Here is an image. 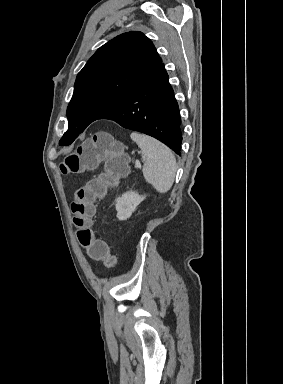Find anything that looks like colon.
<instances>
[{
    "instance_id": "obj_1",
    "label": "colon",
    "mask_w": 283,
    "mask_h": 384,
    "mask_svg": "<svg viewBox=\"0 0 283 384\" xmlns=\"http://www.w3.org/2000/svg\"><path fill=\"white\" fill-rule=\"evenodd\" d=\"M103 163V171L74 191L71 205L77 238L88 255L114 267L117 259L103 240L95 239L91 229L95 202L105 196L108 188L115 186L129 171L128 159L121 146L105 132H96L69 153L61 163L64 174H79Z\"/></svg>"
}]
</instances>
